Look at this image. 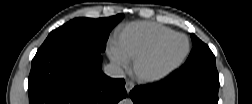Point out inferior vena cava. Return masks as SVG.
Instances as JSON below:
<instances>
[{"mask_svg":"<svg viewBox=\"0 0 252 104\" xmlns=\"http://www.w3.org/2000/svg\"><path fill=\"white\" fill-rule=\"evenodd\" d=\"M104 73L111 78H123L125 76L123 69L116 64H107L104 67Z\"/></svg>","mask_w":252,"mask_h":104,"instance_id":"inferior-vena-cava-1","label":"inferior vena cava"}]
</instances>
